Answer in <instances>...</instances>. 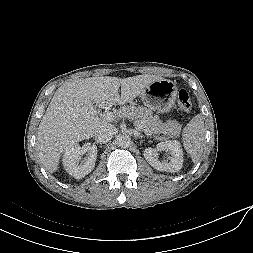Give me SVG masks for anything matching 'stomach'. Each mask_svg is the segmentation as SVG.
<instances>
[{
	"instance_id": "stomach-1",
	"label": "stomach",
	"mask_w": 253,
	"mask_h": 253,
	"mask_svg": "<svg viewBox=\"0 0 253 253\" xmlns=\"http://www.w3.org/2000/svg\"><path fill=\"white\" fill-rule=\"evenodd\" d=\"M177 86L169 79L152 82L141 94L143 103L153 111L169 112L175 105Z\"/></svg>"
}]
</instances>
